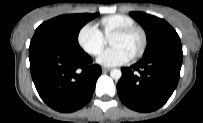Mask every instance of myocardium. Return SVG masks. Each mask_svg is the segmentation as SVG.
<instances>
[{
	"label": "myocardium",
	"mask_w": 203,
	"mask_h": 123,
	"mask_svg": "<svg viewBox=\"0 0 203 123\" xmlns=\"http://www.w3.org/2000/svg\"><path fill=\"white\" fill-rule=\"evenodd\" d=\"M132 33H139L142 39L140 48L132 55V58H138L144 54L148 43L147 34L141 27L135 25L131 27L121 28L113 32L111 37L115 35L126 36Z\"/></svg>",
	"instance_id": "obj_1"
}]
</instances>
